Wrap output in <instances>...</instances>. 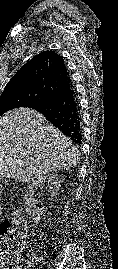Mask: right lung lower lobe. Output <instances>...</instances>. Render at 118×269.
Segmentation results:
<instances>
[{
	"label": "right lung lower lobe",
	"instance_id": "obj_1",
	"mask_svg": "<svg viewBox=\"0 0 118 269\" xmlns=\"http://www.w3.org/2000/svg\"><path fill=\"white\" fill-rule=\"evenodd\" d=\"M42 113L48 121L80 145L82 140V119L73 85L34 102L28 106Z\"/></svg>",
	"mask_w": 118,
	"mask_h": 269
}]
</instances>
